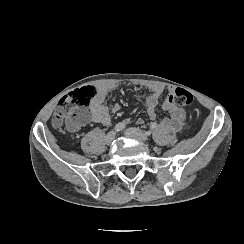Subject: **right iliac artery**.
I'll return each instance as SVG.
<instances>
[{"label":"right iliac artery","mask_w":244,"mask_h":244,"mask_svg":"<svg viewBox=\"0 0 244 244\" xmlns=\"http://www.w3.org/2000/svg\"><path fill=\"white\" fill-rule=\"evenodd\" d=\"M125 128V124L123 122L117 123L114 127L116 132L122 131Z\"/></svg>","instance_id":"82829eb1"}]
</instances>
